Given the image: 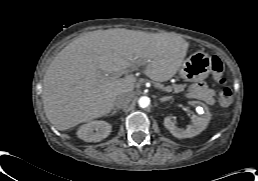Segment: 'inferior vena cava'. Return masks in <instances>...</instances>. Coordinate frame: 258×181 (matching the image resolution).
<instances>
[{
	"label": "inferior vena cava",
	"mask_w": 258,
	"mask_h": 181,
	"mask_svg": "<svg viewBox=\"0 0 258 181\" xmlns=\"http://www.w3.org/2000/svg\"><path fill=\"white\" fill-rule=\"evenodd\" d=\"M131 99H132L131 93L121 94V95L116 97L115 102H114V106L117 109L124 108L130 103Z\"/></svg>",
	"instance_id": "obj_1"
}]
</instances>
